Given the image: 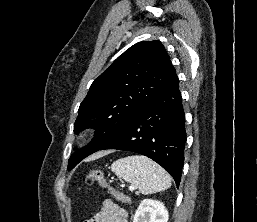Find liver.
Masks as SVG:
<instances>
[{
	"label": "liver",
	"instance_id": "6515ba94",
	"mask_svg": "<svg viewBox=\"0 0 257 222\" xmlns=\"http://www.w3.org/2000/svg\"><path fill=\"white\" fill-rule=\"evenodd\" d=\"M98 156H99V155H94V156L90 157L89 160L95 159V158L98 157Z\"/></svg>",
	"mask_w": 257,
	"mask_h": 222
}]
</instances>
